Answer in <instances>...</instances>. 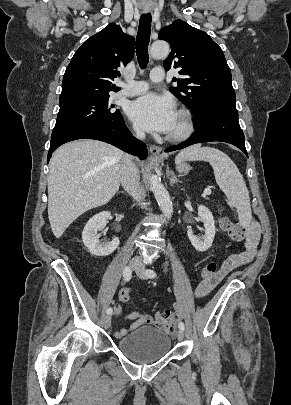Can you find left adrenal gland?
Masks as SVG:
<instances>
[{
    "label": "left adrenal gland",
    "mask_w": 291,
    "mask_h": 405,
    "mask_svg": "<svg viewBox=\"0 0 291 405\" xmlns=\"http://www.w3.org/2000/svg\"><path fill=\"white\" fill-rule=\"evenodd\" d=\"M167 175L170 176V186H173L175 183L181 182L180 180H178L172 170L168 169Z\"/></svg>",
    "instance_id": "obj_1"
}]
</instances>
